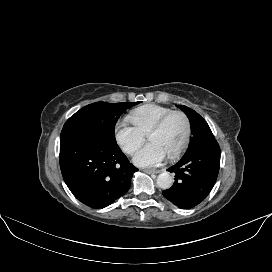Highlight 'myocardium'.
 I'll return each instance as SVG.
<instances>
[{
    "label": "myocardium",
    "mask_w": 272,
    "mask_h": 272,
    "mask_svg": "<svg viewBox=\"0 0 272 272\" xmlns=\"http://www.w3.org/2000/svg\"><path fill=\"white\" fill-rule=\"evenodd\" d=\"M176 116H180L183 118V120L185 122L186 132H185L184 139L180 143V145L175 150H173L171 153L167 154V156L169 158H175V157L179 156L190 142L191 135H192V125H191V121H190V118L188 117V115L183 111H172V112L166 114L165 116H163L161 119H159L152 126V128L149 130V132L147 133L149 136L152 133H156V132L161 131L166 126V124L173 117H176Z\"/></svg>",
    "instance_id": "obj_1"
}]
</instances>
